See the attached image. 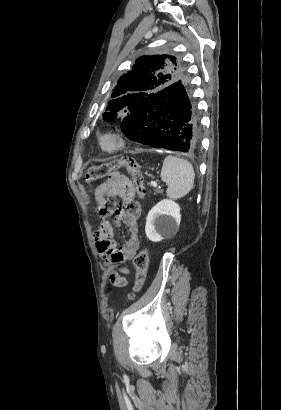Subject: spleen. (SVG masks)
Returning <instances> with one entry per match:
<instances>
[{
    "label": "spleen",
    "instance_id": "1",
    "mask_svg": "<svg viewBox=\"0 0 281 410\" xmlns=\"http://www.w3.org/2000/svg\"><path fill=\"white\" fill-rule=\"evenodd\" d=\"M160 176L168 184L167 196L178 199L190 192L195 174L187 160L169 155L164 159Z\"/></svg>",
    "mask_w": 281,
    "mask_h": 410
}]
</instances>
